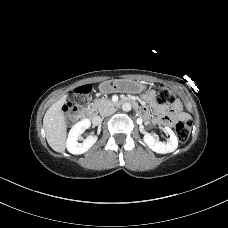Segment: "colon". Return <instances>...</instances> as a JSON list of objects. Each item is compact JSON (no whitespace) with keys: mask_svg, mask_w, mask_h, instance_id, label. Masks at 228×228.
<instances>
[{"mask_svg":"<svg viewBox=\"0 0 228 228\" xmlns=\"http://www.w3.org/2000/svg\"><path fill=\"white\" fill-rule=\"evenodd\" d=\"M91 91L90 85H81L74 89L73 96L70 101L64 105V112L73 117L79 110V103L76 101L79 97L87 96ZM156 99L160 104H170L176 99V95L169 88L164 85H159L156 90ZM191 122L190 121H180L176 124V133L178 139L181 142H186L190 136Z\"/></svg>","mask_w":228,"mask_h":228,"instance_id":"obj_1","label":"colon"}]
</instances>
